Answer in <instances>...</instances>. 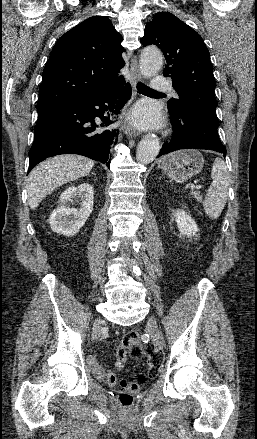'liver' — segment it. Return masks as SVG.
I'll return each mask as SVG.
<instances>
[{"instance_id": "liver-1", "label": "liver", "mask_w": 257, "mask_h": 439, "mask_svg": "<svg viewBox=\"0 0 257 439\" xmlns=\"http://www.w3.org/2000/svg\"><path fill=\"white\" fill-rule=\"evenodd\" d=\"M93 165L92 160L75 154L58 155L40 163L27 179L30 208L36 209L57 187L88 175Z\"/></svg>"}]
</instances>
